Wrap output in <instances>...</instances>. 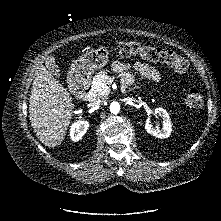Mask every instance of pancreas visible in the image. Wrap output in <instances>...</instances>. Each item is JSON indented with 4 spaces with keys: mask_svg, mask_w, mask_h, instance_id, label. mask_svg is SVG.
Wrapping results in <instances>:
<instances>
[{
    "mask_svg": "<svg viewBox=\"0 0 221 221\" xmlns=\"http://www.w3.org/2000/svg\"><path fill=\"white\" fill-rule=\"evenodd\" d=\"M108 85L109 75L107 74V71L104 70L95 74L92 80V87L99 95H106L110 92Z\"/></svg>",
    "mask_w": 221,
    "mask_h": 221,
    "instance_id": "pancreas-1",
    "label": "pancreas"
}]
</instances>
